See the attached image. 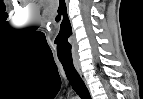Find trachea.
Returning <instances> with one entry per match:
<instances>
[{
	"label": "trachea",
	"instance_id": "3493384b",
	"mask_svg": "<svg viewBox=\"0 0 143 99\" xmlns=\"http://www.w3.org/2000/svg\"><path fill=\"white\" fill-rule=\"evenodd\" d=\"M65 74L74 89V91L79 95L81 99H91L90 93L81 79L80 75L78 74L77 70L74 67L73 61L69 60H60Z\"/></svg>",
	"mask_w": 143,
	"mask_h": 99
}]
</instances>
